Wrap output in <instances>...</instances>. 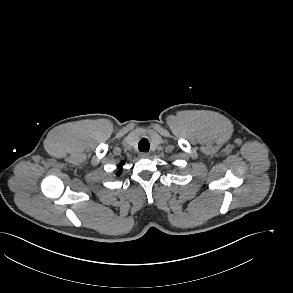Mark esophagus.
<instances>
[{
	"instance_id": "34e87169",
	"label": "esophagus",
	"mask_w": 293,
	"mask_h": 293,
	"mask_svg": "<svg viewBox=\"0 0 293 293\" xmlns=\"http://www.w3.org/2000/svg\"><path fill=\"white\" fill-rule=\"evenodd\" d=\"M139 157H141V158H148L149 157V154L148 153H145V152H140L139 153Z\"/></svg>"
}]
</instances>
